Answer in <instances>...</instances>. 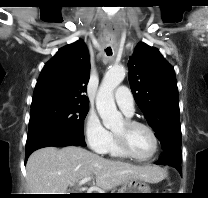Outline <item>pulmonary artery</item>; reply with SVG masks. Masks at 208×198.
<instances>
[{"label": "pulmonary artery", "instance_id": "pulmonary-artery-1", "mask_svg": "<svg viewBox=\"0 0 208 198\" xmlns=\"http://www.w3.org/2000/svg\"><path fill=\"white\" fill-rule=\"evenodd\" d=\"M114 97L117 105L124 114L132 116L135 111V106L131 91L126 86H120L115 91Z\"/></svg>", "mask_w": 208, "mask_h": 198}]
</instances>
